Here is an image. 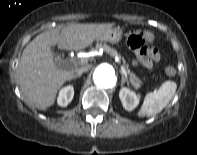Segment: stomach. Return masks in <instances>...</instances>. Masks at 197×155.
Returning a JSON list of instances; mask_svg holds the SVG:
<instances>
[{
	"label": "stomach",
	"instance_id": "stomach-1",
	"mask_svg": "<svg viewBox=\"0 0 197 155\" xmlns=\"http://www.w3.org/2000/svg\"><path fill=\"white\" fill-rule=\"evenodd\" d=\"M122 38V30L119 27L109 28L104 33H102L97 41L110 42L112 44L118 43Z\"/></svg>",
	"mask_w": 197,
	"mask_h": 155
}]
</instances>
